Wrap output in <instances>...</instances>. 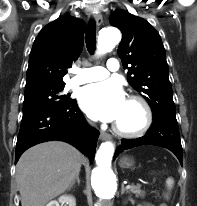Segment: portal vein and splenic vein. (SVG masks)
Here are the masks:
<instances>
[{
  "label": "portal vein and splenic vein",
  "mask_w": 197,
  "mask_h": 206,
  "mask_svg": "<svg viewBox=\"0 0 197 206\" xmlns=\"http://www.w3.org/2000/svg\"><path fill=\"white\" fill-rule=\"evenodd\" d=\"M131 187H132L131 185H127V186H126L127 189H129V188H131Z\"/></svg>",
  "instance_id": "portal-vein-and-splenic-vein-1"
}]
</instances>
